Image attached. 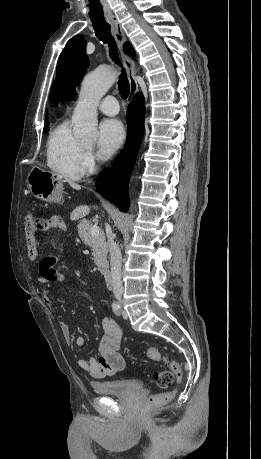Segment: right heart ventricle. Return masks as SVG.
I'll list each match as a JSON object with an SVG mask.
<instances>
[{"label": "right heart ventricle", "instance_id": "e07e8e85", "mask_svg": "<svg viewBox=\"0 0 261 459\" xmlns=\"http://www.w3.org/2000/svg\"><path fill=\"white\" fill-rule=\"evenodd\" d=\"M83 150L84 146L72 134L69 122H61L50 132L47 139V165L66 179L78 180L83 174L81 169Z\"/></svg>", "mask_w": 261, "mask_h": 459}]
</instances>
